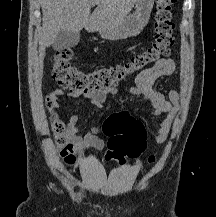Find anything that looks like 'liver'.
<instances>
[{
    "label": "liver",
    "mask_w": 216,
    "mask_h": 217,
    "mask_svg": "<svg viewBox=\"0 0 216 217\" xmlns=\"http://www.w3.org/2000/svg\"><path fill=\"white\" fill-rule=\"evenodd\" d=\"M137 0H41L42 29L39 56L54 44L61 30L79 32L101 31L119 25L130 13ZM97 8L91 14V7Z\"/></svg>",
    "instance_id": "obj_1"
}]
</instances>
